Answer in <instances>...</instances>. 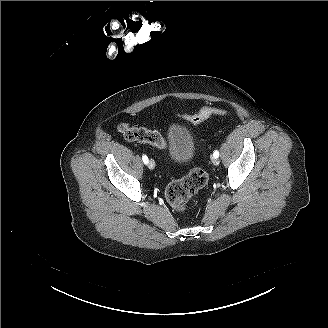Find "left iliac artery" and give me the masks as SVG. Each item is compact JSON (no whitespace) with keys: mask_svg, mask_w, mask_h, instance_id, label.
Instances as JSON below:
<instances>
[{"mask_svg":"<svg viewBox=\"0 0 328 328\" xmlns=\"http://www.w3.org/2000/svg\"><path fill=\"white\" fill-rule=\"evenodd\" d=\"M213 156L218 158L219 157V152L217 150L214 151Z\"/></svg>","mask_w":328,"mask_h":328,"instance_id":"44dca946","label":"left iliac artery"}]
</instances>
